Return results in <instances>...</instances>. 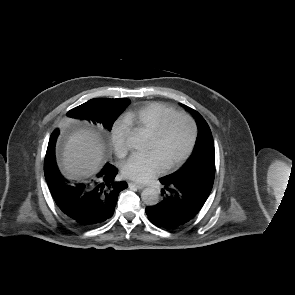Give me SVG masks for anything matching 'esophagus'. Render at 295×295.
<instances>
[{
    "label": "esophagus",
    "instance_id": "34e87169",
    "mask_svg": "<svg viewBox=\"0 0 295 295\" xmlns=\"http://www.w3.org/2000/svg\"><path fill=\"white\" fill-rule=\"evenodd\" d=\"M129 185L133 186V187H135L136 189H139V190L144 188V185H141V184H138V183H135V182H130Z\"/></svg>",
    "mask_w": 295,
    "mask_h": 295
}]
</instances>
